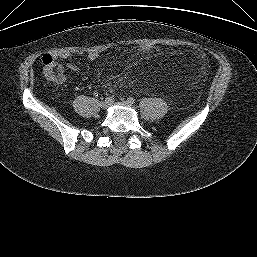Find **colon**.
I'll list each match as a JSON object with an SVG mask.
<instances>
[{"label": "colon", "mask_w": 257, "mask_h": 257, "mask_svg": "<svg viewBox=\"0 0 257 257\" xmlns=\"http://www.w3.org/2000/svg\"><path fill=\"white\" fill-rule=\"evenodd\" d=\"M140 52L148 53L154 50V46L149 43H142L138 46ZM43 71L47 79L60 83L64 80L65 74L61 64L56 62L51 56L44 55L42 58Z\"/></svg>", "instance_id": "colon-1"}]
</instances>
